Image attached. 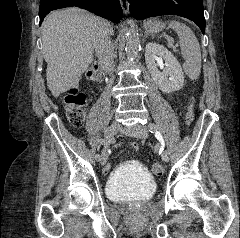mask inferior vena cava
<instances>
[{
    "instance_id": "inferior-vena-cava-1",
    "label": "inferior vena cava",
    "mask_w": 240,
    "mask_h": 238,
    "mask_svg": "<svg viewBox=\"0 0 240 238\" xmlns=\"http://www.w3.org/2000/svg\"><path fill=\"white\" fill-rule=\"evenodd\" d=\"M109 35V27L102 22L98 23L94 35V49L100 66L106 73H111L114 70V48Z\"/></svg>"
}]
</instances>
